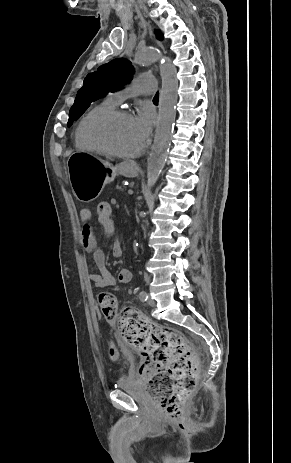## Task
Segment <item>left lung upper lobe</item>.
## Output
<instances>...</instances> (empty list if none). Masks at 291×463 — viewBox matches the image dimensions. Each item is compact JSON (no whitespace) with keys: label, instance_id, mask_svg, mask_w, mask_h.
<instances>
[{"label":"left lung upper lobe","instance_id":"left-lung-upper-lobe-1","mask_svg":"<svg viewBox=\"0 0 291 463\" xmlns=\"http://www.w3.org/2000/svg\"><path fill=\"white\" fill-rule=\"evenodd\" d=\"M157 38L162 40L163 35L157 31ZM134 69L131 62L118 58L101 65L97 71L86 76L83 87L77 92L75 102L69 112L70 126L89 107L93 101L104 97L108 92H114L132 80Z\"/></svg>","mask_w":291,"mask_h":463}]
</instances>
